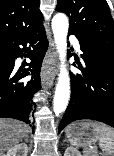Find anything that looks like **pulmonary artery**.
Masks as SVG:
<instances>
[{
    "label": "pulmonary artery",
    "mask_w": 114,
    "mask_h": 156,
    "mask_svg": "<svg viewBox=\"0 0 114 156\" xmlns=\"http://www.w3.org/2000/svg\"><path fill=\"white\" fill-rule=\"evenodd\" d=\"M71 42L73 43L74 48L76 51L80 52V44L75 37H71Z\"/></svg>",
    "instance_id": "1"
}]
</instances>
